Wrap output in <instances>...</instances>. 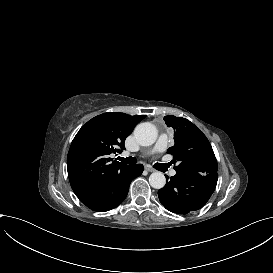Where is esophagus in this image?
I'll list each match as a JSON object with an SVG mask.
<instances>
[{
  "instance_id": "34e87169",
  "label": "esophagus",
  "mask_w": 273,
  "mask_h": 273,
  "mask_svg": "<svg viewBox=\"0 0 273 273\" xmlns=\"http://www.w3.org/2000/svg\"><path fill=\"white\" fill-rule=\"evenodd\" d=\"M145 170L148 171V172H155L156 170L154 168H151V167H145Z\"/></svg>"
}]
</instances>
